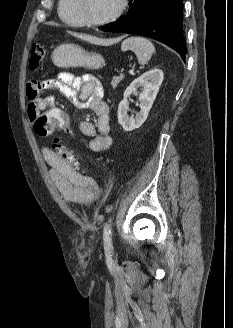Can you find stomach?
Masks as SVG:
<instances>
[{
	"mask_svg": "<svg viewBox=\"0 0 233 328\" xmlns=\"http://www.w3.org/2000/svg\"><path fill=\"white\" fill-rule=\"evenodd\" d=\"M52 61L61 68L99 69L104 65V59L100 54L85 51L76 44H61L56 47L52 53Z\"/></svg>",
	"mask_w": 233,
	"mask_h": 328,
	"instance_id": "1",
	"label": "stomach"
}]
</instances>
